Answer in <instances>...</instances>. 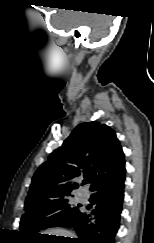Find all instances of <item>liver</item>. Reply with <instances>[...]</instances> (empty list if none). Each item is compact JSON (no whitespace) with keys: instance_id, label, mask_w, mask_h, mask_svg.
<instances>
[{"instance_id":"liver-1","label":"liver","mask_w":154,"mask_h":243,"mask_svg":"<svg viewBox=\"0 0 154 243\" xmlns=\"http://www.w3.org/2000/svg\"><path fill=\"white\" fill-rule=\"evenodd\" d=\"M44 234L74 238V234L72 232L62 228L47 229L44 231ZM70 238H66V239H70Z\"/></svg>"}]
</instances>
